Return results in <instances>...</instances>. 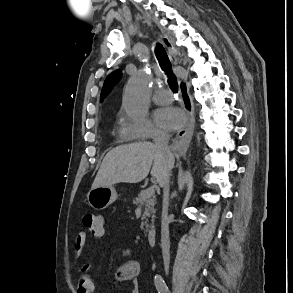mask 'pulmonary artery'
<instances>
[{
    "label": "pulmonary artery",
    "mask_w": 293,
    "mask_h": 293,
    "mask_svg": "<svg viewBox=\"0 0 293 293\" xmlns=\"http://www.w3.org/2000/svg\"><path fill=\"white\" fill-rule=\"evenodd\" d=\"M153 101L157 104H168L173 101V94L166 89H158L153 95Z\"/></svg>",
    "instance_id": "1"
}]
</instances>
